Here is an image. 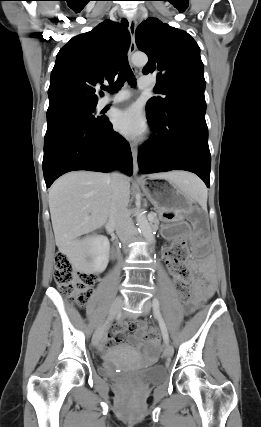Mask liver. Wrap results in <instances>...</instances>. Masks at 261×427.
<instances>
[{
    "instance_id": "liver-1",
    "label": "liver",
    "mask_w": 261,
    "mask_h": 427,
    "mask_svg": "<svg viewBox=\"0 0 261 427\" xmlns=\"http://www.w3.org/2000/svg\"><path fill=\"white\" fill-rule=\"evenodd\" d=\"M183 172L150 175L180 184ZM127 183L130 186L129 179ZM112 200L111 176L100 172L75 171L57 179L49 190V208L56 245L62 253L76 250L78 261L88 267V241L79 237L103 227Z\"/></svg>"
}]
</instances>
